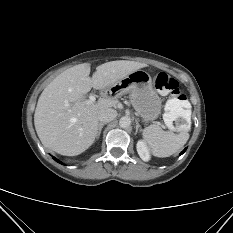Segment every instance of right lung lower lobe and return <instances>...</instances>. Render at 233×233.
Returning <instances> with one entry per match:
<instances>
[{
    "label": "right lung lower lobe",
    "mask_w": 233,
    "mask_h": 233,
    "mask_svg": "<svg viewBox=\"0 0 233 233\" xmlns=\"http://www.w3.org/2000/svg\"><path fill=\"white\" fill-rule=\"evenodd\" d=\"M53 159H54L55 161L59 162V163H62V162H60L58 159H56L55 157H53Z\"/></svg>",
    "instance_id": "98d812e1"
}]
</instances>
